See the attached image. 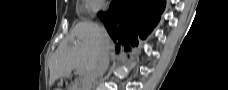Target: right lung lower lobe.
<instances>
[{"label": "right lung lower lobe", "instance_id": "1", "mask_svg": "<svg viewBox=\"0 0 228 90\" xmlns=\"http://www.w3.org/2000/svg\"><path fill=\"white\" fill-rule=\"evenodd\" d=\"M165 8V0H113L110 10L99 13L116 44V50L131 51L137 37L145 39L157 25Z\"/></svg>", "mask_w": 228, "mask_h": 90}]
</instances>
